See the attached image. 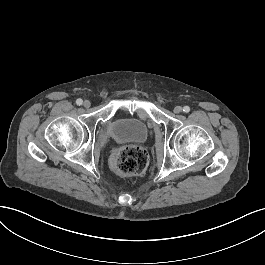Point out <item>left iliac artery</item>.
<instances>
[{
	"mask_svg": "<svg viewBox=\"0 0 265 265\" xmlns=\"http://www.w3.org/2000/svg\"><path fill=\"white\" fill-rule=\"evenodd\" d=\"M183 111L185 113H188L190 111V108L188 106H184Z\"/></svg>",
	"mask_w": 265,
	"mask_h": 265,
	"instance_id": "1",
	"label": "left iliac artery"
}]
</instances>
